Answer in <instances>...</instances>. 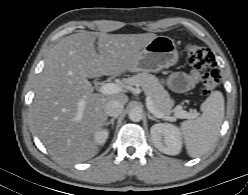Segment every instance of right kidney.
Masks as SVG:
<instances>
[{"instance_id": "right-kidney-1", "label": "right kidney", "mask_w": 248, "mask_h": 195, "mask_svg": "<svg viewBox=\"0 0 248 195\" xmlns=\"http://www.w3.org/2000/svg\"><path fill=\"white\" fill-rule=\"evenodd\" d=\"M108 138V131L105 129H100L94 134V141L99 145H103Z\"/></svg>"}]
</instances>
